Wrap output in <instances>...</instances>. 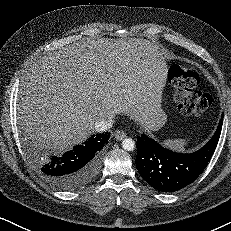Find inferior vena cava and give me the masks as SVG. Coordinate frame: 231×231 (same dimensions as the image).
Masks as SVG:
<instances>
[{"instance_id":"602c4592","label":"inferior vena cava","mask_w":231,"mask_h":231,"mask_svg":"<svg viewBox=\"0 0 231 231\" xmlns=\"http://www.w3.org/2000/svg\"><path fill=\"white\" fill-rule=\"evenodd\" d=\"M114 124V118L113 117H109L107 119H102L100 122H98L95 125V130L97 132H104L109 130L110 128H112Z\"/></svg>"}]
</instances>
